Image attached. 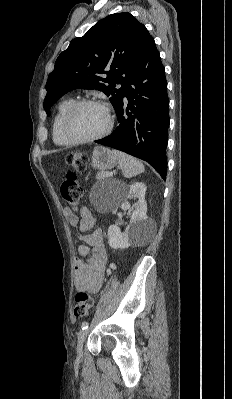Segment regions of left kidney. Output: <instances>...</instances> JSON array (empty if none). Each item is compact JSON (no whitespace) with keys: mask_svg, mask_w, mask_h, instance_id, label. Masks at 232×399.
<instances>
[{"mask_svg":"<svg viewBox=\"0 0 232 399\" xmlns=\"http://www.w3.org/2000/svg\"><path fill=\"white\" fill-rule=\"evenodd\" d=\"M122 196V209H130L131 203L128 200L138 198L134 203V211H132L130 223L126 225L125 231H121L118 225H110L108 229V243L113 249L117 247H129V245H138L140 241H145L148 237L150 223L152 219L147 217V203L145 200L146 186L142 182H134L131 186L122 184L119 188Z\"/></svg>","mask_w":232,"mask_h":399,"instance_id":"left-kidney-1","label":"left kidney"}]
</instances>
